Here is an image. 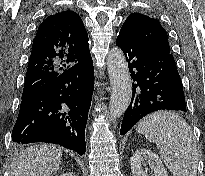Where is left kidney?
<instances>
[{
  "instance_id": "left-kidney-1",
  "label": "left kidney",
  "mask_w": 205,
  "mask_h": 176,
  "mask_svg": "<svg viewBox=\"0 0 205 176\" xmlns=\"http://www.w3.org/2000/svg\"><path fill=\"white\" fill-rule=\"evenodd\" d=\"M130 164L133 176H148L147 170L143 169L147 164L153 172L152 176H168L158 155L149 149H138L133 153Z\"/></svg>"
}]
</instances>
